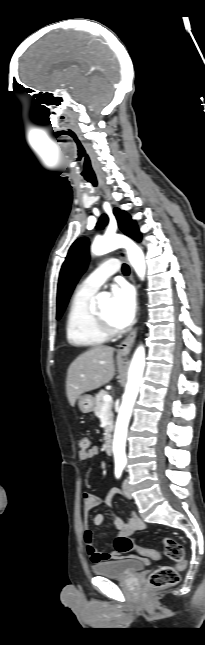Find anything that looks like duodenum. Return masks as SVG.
<instances>
[{
  "instance_id": "duodenum-1",
  "label": "duodenum",
  "mask_w": 205,
  "mask_h": 645,
  "mask_svg": "<svg viewBox=\"0 0 205 645\" xmlns=\"http://www.w3.org/2000/svg\"><path fill=\"white\" fill-rule=\"evenodd\" d=\"M104 451L107 455H111L113 452V443L110 438L106 439L104 443Z\"/></svg>"
}]
</instances>
